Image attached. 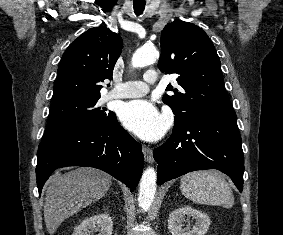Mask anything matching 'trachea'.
<instances>
[{
	"label": "trachea",
	"mask_w": 283,
	"mask_h": 235,
	"mask_svg": "<svg viewBox=\"0 0 283 235\" xmlns=\"http://www.w3.org/2000/svg\"><path fill=\"white\" fill-rule=\"evenodd\" d=\"M134 12L137 16L141 15L145 9V3L134 2L133 3Z\"/></svg>",
	"instance_id": "obj_1"
}]
</instances>
